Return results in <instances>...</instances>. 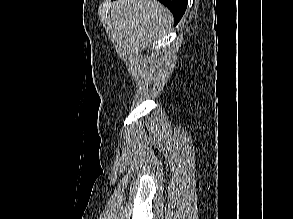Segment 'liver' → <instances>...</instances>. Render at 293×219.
I'll use <instances>...</instances> for the list:
<instances>
[{"instance_id": "6515ba94", "label": "liver", "mask_w": 293, "mask_h": 219, "mask_svg": "<svg viewBox=\"0 0 293 219\" xmlns=\"http://www.w3.org/2000/svg\"><path fill=\"white\" fill-rule=\"evenodd\" d=\"M172 21L171 12L157 0H116L111 10L114 39L130 60L165 34Z\"/></svg>"}]
</instances>
